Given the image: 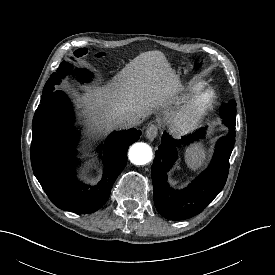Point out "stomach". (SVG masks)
Segmentation results:
<instances>
[{
  "label": "stomach",
  "mask_w": 275,
  "mask_h": 275,
  "mask_svg": "<svg viewBox=\"0 0 275 275\" xmlns=\"http://www.w3.org/2000/svg\"><path fill=\"white\" fill-rule=\"evenodd\" d=\"M185 73L186 71L185 70H181L180 68L177 70V76L179 77L180 76V74H182V73Z\"/></svg>",
  "instance_id": "0dacf381"
}]
</instances>
